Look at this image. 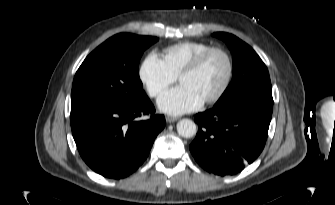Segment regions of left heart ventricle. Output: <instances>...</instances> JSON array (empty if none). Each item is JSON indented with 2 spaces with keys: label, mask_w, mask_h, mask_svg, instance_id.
I'll return each mask as SVG.
<instances>
[{
  "label": "left heart ventricle",
  "mask_w": 335,
  "mask_h": 205,
  "mask_svg": "<svg viewBox=\"0 0 335 205\" xmlns=\"http://www.w3.org/2000/svg\"><path fill=\"white\" fill-rule=\"evenodd\" d=\"M227 70L225 57L220 53H214L197 72L184 76L180 83L188 86L204 101L219 90Z\"/></svg>",
  "instance_id": "1"
}]
</instances>
